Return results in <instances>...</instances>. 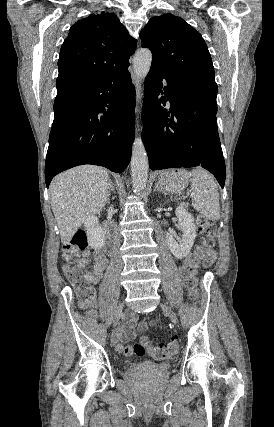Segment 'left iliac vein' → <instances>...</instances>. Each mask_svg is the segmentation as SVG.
I'll return each instance as SVG.
<instances>
[{
    "label": "left iliac vein",
    "mask_w": 274,
    "mask_h": 427,
    "mask_svg": "<svg viewBox=\"0 0 274 427\" xmlns=\"http://www.w3.org/2000/svg\"><path fill=\"white\" fill-rule=\"evenodd\" d=\"M161 308L162 311L170 318L171 322L176 325L177 324V317L174 314V312L172 311L171 308H169L167 305L165 304H161Z\"/></svg>",
    "instance_id": "1"
}]
</instances>
